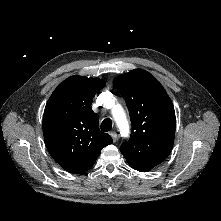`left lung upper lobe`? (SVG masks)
<instances>
[{"label": "left lung upper lobe", "instance_id": "1", "mask_svg": "<svg viewBox=\"0 0 221 221\" xmlns=\"http://www.w3.org/2000/svg\"><path fill=\"white\" fill-rule=\"evenodd\" d=\"M116 89L126 101L132 123L130 140L121 145L129 165L147 172L170 154L176 128L173 104L149 72L134 69L116 77Z\"/></svg>", "mask_w": 221, "mask_h": 221}]
</instances>
